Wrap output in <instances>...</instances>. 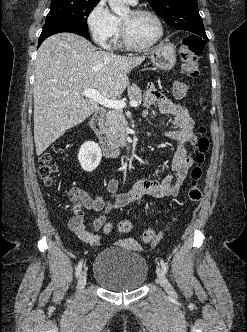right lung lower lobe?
<instances>
[{"label":"right lung lower lobe","instance_id":"98d812e1","mask_svg":"<svg viewBox=\"0 0 247 332\" xmlns=\"http://www.w3.org/2000/svg\"><path fill=\"white\" fill-rule=\"evenodd\" d=\"M61 32H71L78 35H81L85 38H90L88 33V28H84L81 26H78L77 24L65 22V21H57V22H49L45 23L43 30L40 34L39 40H38V47L40 44L49 36L61 33Z\"/></svg>","mask_w":247,"mask_h":332}]
</instances>
